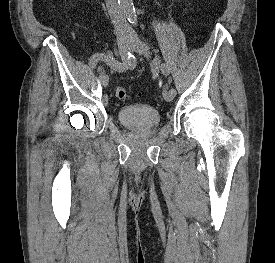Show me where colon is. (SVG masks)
<instances>
[{
	"label": "colon",
	"mask_w": 275,
	"mask_h": 263,
	"mask_svg": "<svg viewBox=\"0 0 275 263\" xmlns=\"http://www.w3.org/2000/svg\"><path fill=\"white\" fill-rule=\"evenodd\" d=\"M115 93L116 97L120 100H126L128 98V92L125 88L117 87Z\"/></svg>",
	"instance_id": "1"
}]
</instances>
